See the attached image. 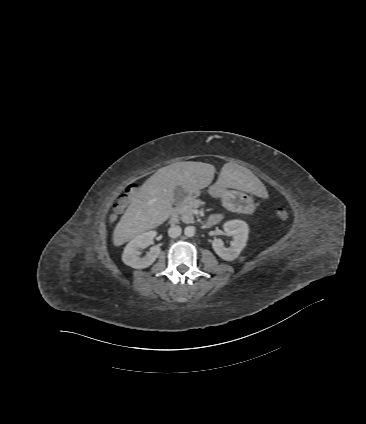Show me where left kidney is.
<instances>
[{"label": "left kidney", "mask_w": 366, "mask_h": 424, "mask_svg": "<svg viewBox=\"0 0 366 424\" xmlns=\"http://www.w3.org/2000/svg\"><path fill=\"white\" fill-rule=\"evenodd\" d=\"M224 231L233 237L230 247H225L224 242L220 238L212 241V247L215 253L226 261L236 259L243 248L246 246L248 239V225L241 220H231L223 225Z\"/></svg>", "instance_id": "5707ae66"}]
</instances>
